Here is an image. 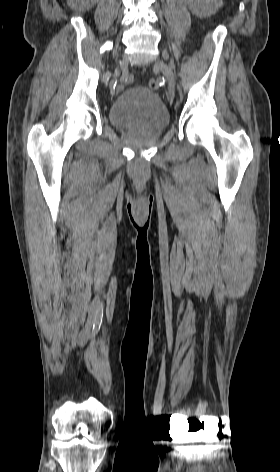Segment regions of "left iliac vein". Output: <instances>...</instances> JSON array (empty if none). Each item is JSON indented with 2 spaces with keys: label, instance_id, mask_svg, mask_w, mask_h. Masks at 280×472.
Wrapping results in <instances>:
<instances>
[{
  "label": "left iliac vein",
  "instance_id": "4c4485c4",
  "mask_svg": "<svg viewBox=\"0 0 280 472\" xmlns=\"http://www.w3.org/2000/svg\"><path fill=\"white\" fill-rule=\"evenodd\" d=\"M155 66L162 71L168 81V88H169V96L172 99L174 96V89H175V81H174V73L172 69L167 66L163 61L158 60Z\"/></svg>",
  "mask_w": 280,
  "mask_h": 472
}]
</instances>
